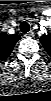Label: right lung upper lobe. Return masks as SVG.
<instances>
[{
  "instance_id": "cb5924a9",
  "label": "right lung upper lobe",
  "mask_w": 51,
  "mask_h": 101,
  "mask_svg": "<svg viewBox=\"0 0 51 101\" xmlns=\"http://www.w3.org/2000/svg\"><path fill=\"white\" fill-rule=\"evenodd\" d=\"M20 40V36L18 34L8 35L4 32L0 33V60L7 59L16 42Z\"/></svg>"
}]
</instances>
